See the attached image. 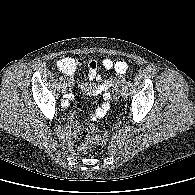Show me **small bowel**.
Returning <instances> with one entry per match:
<instances>
[{"label":"small bowel","instance_id":"c3829d8e","mask_svg":"<svg viewBox=\"0 0 195 195\" xmlns=\"http://www.w3.org/2000/svg\"><path fill=\"white\" fill-rule=\"evenodd\" d=\"M64 65L58 64L60 70L68 75L72 76L75 71L82 66L83 61L81 59H74V58H65ZM101 65L105 70H110L114 68L115 72L114 75L108 77L106 79H102L100 74L97 72L98 64L94 59H90L88 61V78L90 80L89 83L79 84L73 78L69 79V84L72 88H80L85 93L97 96L101 95L104 98V103L98 107L92 114V120H98L102 118L110 108V98L111 95L109 93L110 87L114 84L115 80L120 77L123 73H125L127 69V64L124 60L118 59L115 62L110 58H104L101 61ZM74 98V94L69 92L65 95L66 101L72 100ZM81 114V108L79 106L72 107L69 111L70 122L72 124L75 123L76 119Z\"/></svg>","mask_w":195,"mask_h":195}]
</instances>
